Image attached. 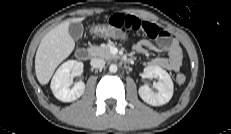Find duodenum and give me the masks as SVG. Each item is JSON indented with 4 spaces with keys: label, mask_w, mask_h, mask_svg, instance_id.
Returning <instances> with one entry per match:
<instances>
[{
    "label": "duodenum",
    "mask_w": 231,
    "mask_h": 134,
    "mask_svg": "<svg viewBox=\"0 0 231 134\" xmlns=\"http://www.w3.org/2000/svg\"><path fill=\"white\" fill-rule=\"evenodd\" d=\"M90 51L87 48H80L76 51V57L80 61H86L90 58Z\"/></svg>",
    "instance_id": "duodenum-1"
}]
</instances>
